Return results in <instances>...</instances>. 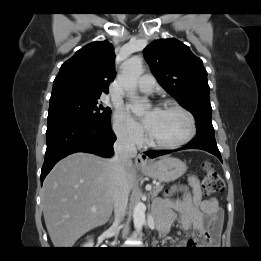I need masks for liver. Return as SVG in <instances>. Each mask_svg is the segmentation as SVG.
I'll list each match as a JSON object with an SVG mask.
<instances>
[{"label":"liver","mask_w":261,"mask_h":261,"mask_svg":"<svg viewBox=\"0 0 261 261\" xmlns=\"http://www.w3.org/2000/svg\"><path fill=\"white\" fill-rule=\"evenodd\" d=\"M126 180L132 189L136 180L132 165L126 170ZM41 200L54 247L71 248L85 233L104 225L112 214L111 159L77 152L60 160L44 180Z\"/></svg>","instance_id":"1"}]
</instances>
